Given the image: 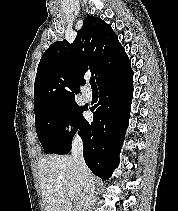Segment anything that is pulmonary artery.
I'll return each instance as SVG.
<instances>
[{
	"label": "pulmonary artery",
	"mask_w": 178,
	"mask_h": 211,
	"mask_svg": "<svg viewBox=\"0 0 178 211\" xmlns=\"http://www.w3.org/2000/svg\"><path fill=\"white\" fill-rule=\"evenodd\" d=\"M83 97L86 101H91L92 100V91L86 87L83 91Z\"/></svg>",
	"instance_id": "pulmonary-artery-1"
}]
</instances>
